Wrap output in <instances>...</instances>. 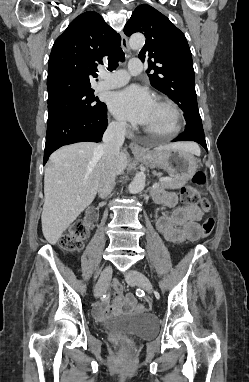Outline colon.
<instances>
[{"label":"colon","mask_w":249,"mask_h":382,"mask_svg":"<svg viewBox=\"0 0 249 382\" xmlns=\"http://www.w3.org/2000/svg\"><path fill=\"white\" fill-rule=\"evenodd\" d=\"M193 182L196 185H203L205 182V174L202 171H197L193 176ZM181 201L184 205L195 206L200 203L204 210L210 208L208 200L202 199L200 193L194 186H184L180 193ZM214 228V220L211 217H206L202 222V236H209ZM89 234V227L86 226L84 221L76 222L70 231L60 239V246L66 252H77L86 240ZM135 309L138 312H143L145 306L136 304Z\"/></svg>","instance_id":"5ec220e1"}]
</instances>
